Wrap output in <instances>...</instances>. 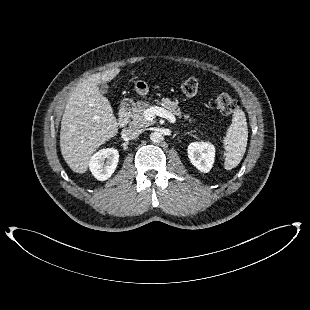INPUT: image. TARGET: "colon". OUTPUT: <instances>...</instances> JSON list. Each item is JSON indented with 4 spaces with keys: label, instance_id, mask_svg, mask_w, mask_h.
Wrapping results in <instances>:
<instances>
[{
    "label": "colon",
    "instance_id": "obj_1",
    "mask_svg": "<svg viewBox=\"0 0 310 310\" xmlns=\"http://www.w3.org/2000/svg\"><path fill=\"white\" fill-rule=\"evenodd\" d=\"M181 90L186 96H194L198 92V82L195 78L186 79ZM214 102L220 112L224 115L232 114L238 107V102L228 93H217L214 95Z\"/></svg>",
    "mask_w": 310,
    "mask_h": 310
}]
</instances>
